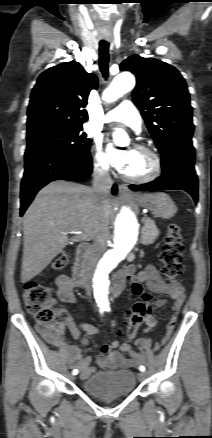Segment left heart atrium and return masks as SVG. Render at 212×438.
I'll return each mask as SVG.
<instances>
[{
  "mask_svg": "<svg viewBox=\"0 0 212 438\" xmlns=\"http://www.w3.org/2000/svg\"><path fill=\"white\" fill-rule=\"evenodd\" d=\"M108 150L110 153L112 164L119 171L123 172L127 167L134 150L131 148L119 150L116 149L112 144L108 145Z\"/></svg>",
  "mask_w": 212,
  "mask_h": 438,
  "instance_id": "left-heart-atrium-1",
  "label": "left heart atrium"
}]
</instances>
